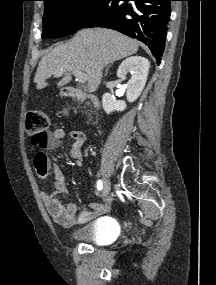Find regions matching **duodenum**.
<instances>
[{
	"mask_svg": "<svg viewBox=\"0 0 216 285\" xmlns=\"http://www.w3.org/2000/svg\"><path fill=\"white\" fill-rule=\"evenodd\" d=\"M65 94L71 98H74V99L83 100V99L88 98L92 102V104L94 105L95 108H98V106H99L98 100L94 96L86 95L82 91H80L76 88H72V87L66 88Z\"/></svg>",
	"mask_w": 216,
	"mask_h": 285,
	"instance_id": "duodenum-1",
	"label": "duodenum"
}]
</instances>
